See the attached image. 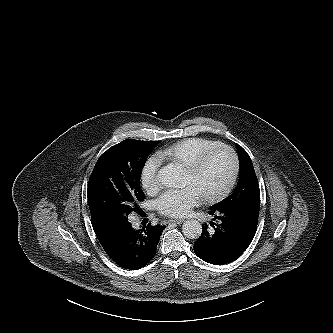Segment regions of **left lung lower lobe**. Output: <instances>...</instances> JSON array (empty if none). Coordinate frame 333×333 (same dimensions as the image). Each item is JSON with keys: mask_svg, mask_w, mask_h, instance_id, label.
Wrapping results in <instances>:
<instances>
[{"mask_svg": "<svg viewBox=\"0 0 333 333\" xmlns=\"http://www.w3.org/2000/svg\"><path fill=\"white\" fill-rule=\"evenodd\" d=\"M214 228L207 231L203 226L202 234L194 243V252L202 260L222 265L235 261L252 242L258 223L259 210L234 211L211 210Z\"/></svg>", "mask_w": 333, "mask_h": 333, "instance_id": "1", "label": "left lung lower lobe"}]
</instances>
